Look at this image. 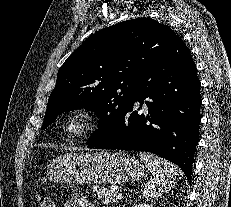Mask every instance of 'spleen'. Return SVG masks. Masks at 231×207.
<instances>
[{
    "label": "spleen",
    "instance_id": "3e777b00",
    "mask_svg": "<svg viewBox=\"0 0 231 207\" xmlns=\"http://www.w3.org/2000/svg\"><path fill=\"white\" fill-rule=\"evenodd\" d=\"M139 157L152 173L150 181L144 187L145 198L155 200L161 197L180 180L182 172L171 162L146 152H140Z\"/></svg>",
    "mask_w": 231,
    "mask_h": 207
}]
</instances>
